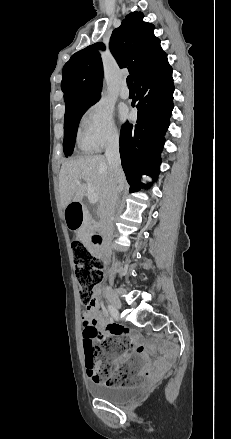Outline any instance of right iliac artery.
<instances>
[{
  "mask_svg": "<svg viewBox=\"0 0 231 439\" xmlns=\"http://www.w3.org/2000/svg\"><path fill=\"white\" fill-rule=\"evenodd\" d=\"M108 311L110 312V314L112 315V313L114 312V309H113V307L112 306H108Z\"/></svg>",
  "mask_w": 231,
  "mask_h": 439,
  "instance_id": "obj_1",
  "label": "right iliac artery"
}]
</instances>
